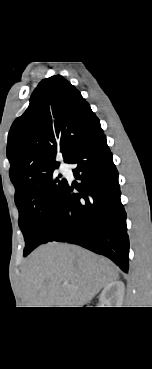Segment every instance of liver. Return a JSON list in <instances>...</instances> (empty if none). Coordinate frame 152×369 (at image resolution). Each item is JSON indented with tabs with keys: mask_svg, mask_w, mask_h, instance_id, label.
Listing matches in <instances>:
<instances>
[{
	"mask_svg": "<svg viewBox=\"0 0 152 369\" xmlns=\"http://www.w3.org/2000/svg\"><path fill=\"white\" fill-rule=\"evenodd\" d=\"M119 277L106 258L74 245L48 243L26 260L22 272L26 307H81Z\"/></svg>",
	"mask_w": 152,
	"mask_h": 369,
	"instance_id": "liver-1",
	"label": "liver"
}]
</instances>
